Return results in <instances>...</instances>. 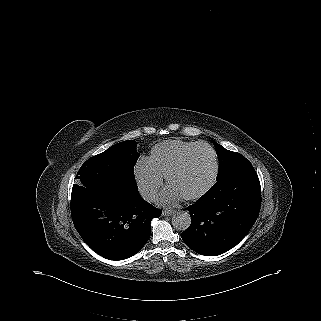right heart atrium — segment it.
<instances>
[{
  "label": "right heart atrium",
  "mask_w": 321,
  "mask_h": 321,
  "mask_svg": "<svg viewBox=\"0 0 321 321\" xmlns=\"http://www.w3.org/2000/svg\"><path fill=\"white\" fill-rule=\"evenodd\" d=\"M135 182L148 200H153L162 184V176L154 171L148 158H139L133 168Z\"/></svg>",
  "instance_id": "right-heart-atrium-1"
}]
</instances>
